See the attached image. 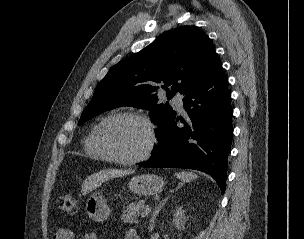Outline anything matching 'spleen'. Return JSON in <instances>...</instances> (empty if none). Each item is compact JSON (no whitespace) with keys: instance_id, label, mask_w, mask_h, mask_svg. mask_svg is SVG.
<instances>
[{"instance_id":"spleen-1","label":"spleen","mask_w":304,"mask_h":239,"mask_svg":"<svg viewBox=\"0 0 304 239\" xmlns=\"http://www.w3.org/2000/svg\"><path fill=\"white\" fill-rule=\"evenodd\" d=\"M176 175L178 178L186 182L195 180L197 178V175L193 172H178Z\"/></svg>"}]
</instances>
